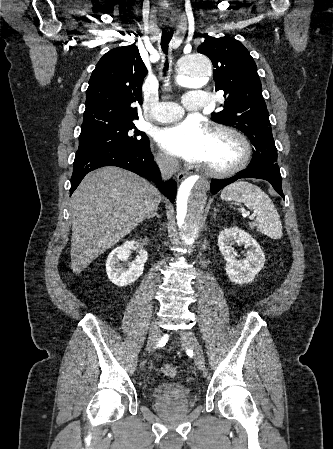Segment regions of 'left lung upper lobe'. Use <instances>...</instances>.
I'll list each match as a JSON object with an SVG mask.
<instances>
[{"label": "left lung upper lobe", "instance_id": "obj_1", "mask_svg": "<svg viewBox=\"0 0 333 449\" xmlns=\"http://www.w3.org/2000/svg\"><path fill=\"white\" fill-rule=\"evenodd\" d=\"M197 51L211 59L216 91L223 90L226 97L223 109L212 118L249 137L255 148L249 167L279 168L257 66L249 51L234 38L208 35Z\"/></svg>", "mask_w": 333, "mask_h": 449}]
</instances>
